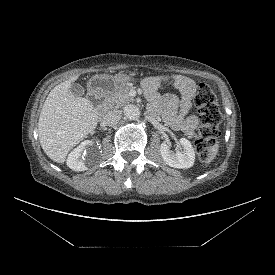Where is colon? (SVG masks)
<instances>
[{
    "label": "colon",
    "mask_w": 275,
    "mask_h": 275,
    "mask_svg": "<svg viewBox=\"0 0 275 275\" xmlns=\"http://www.w3.org/2000/svg\"><path fill=\"white\" fill-rule=\"evenodd\" d=\"M194 101L200 115L195 150L202 161H209L213 157L214 145L220 132L222 114L214 91L205 83L199 84Z\"/></svg>",
    "instance_id": "colon-1"
}]
</instances>
